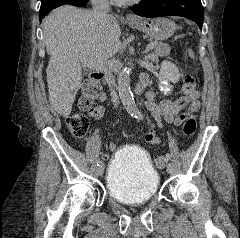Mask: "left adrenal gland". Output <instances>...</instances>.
I'll return each mask as SVG.
<instances>
[{"label": "left adrenal gland", "instance_id": "a2214340", "mask_svg": "<svg viewBox=\"0 0 240 238\" xmlns=\"http://www.w3.org/2000/svg\"><path fill=\"white\" fill-rule=\"evenodd\" d=\"M145 58H146V59H149V58H150V56H149V55H147V56H145Z\"/></svg>", "mask_w": 240, "mask_h": 238}]
</instances>
